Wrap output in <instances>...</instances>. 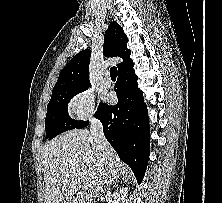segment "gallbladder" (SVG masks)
<instances>
[{
    "instance_id": "obj_1",
    "label": "gallbladder",
    "mask_w": 222,
    "mask_h": 203,
    "mask_svg": "<svg viewBox=\"0 0 222 203\" xmlns=\"http://www.w3.org/2000/svg\"><path fill=\"white\" fill-rule=\"evenodd\" d=\"M61 203H77V198L65 199Z\"/></svg>"
}]
</instances>
